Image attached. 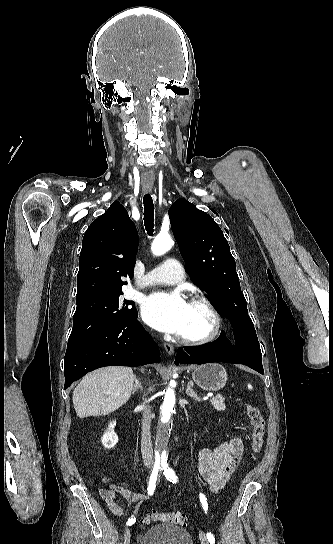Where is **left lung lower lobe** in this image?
<instances>
[{
    "mask_svg": "<svg viewBox=\"0 0 333 544\" xmlns=\"http://www.w3.org/2000/svg\"><path fill=\"white\" fill-rule=\"evenodd\" d=\"M235 345L226 338L222 332L220 337L203 346L184 347L179 349L176 355L175 363H195L202 364L212 359L218 362H229L235 364H244L263 374L262 355L260 347H253L245 338V335H237L233 329Z\"/></svg>",
    "mask_w": 333,
    "mask_h": 544,
    "instance_id": "obj_1",
    "label": "left lung lower lobe"
}]
</instances>
